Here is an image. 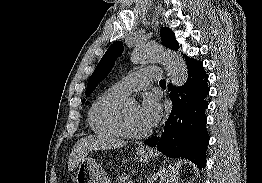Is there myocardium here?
Instances as JSON below:
<instances>
[{"label": "myocardium", "instance_id": "1", "mask_svg": "<svg viewBox=\"0 0 262 183\" xmlns=\"http://www.w3.org/2000/svg\"><path fill=\"white\" fill-rule=\"evenodd\" d=\"M118 125H119V128L122 134L127 138L142 139L151 134V130L149 129L143 132H135L129 127L127 117H126L125 107H122L120 109V112L118 115Z\"/></svg>", "mask_w": 262, "mask_h": 183}]
</instances>
